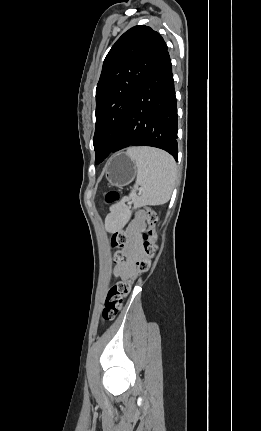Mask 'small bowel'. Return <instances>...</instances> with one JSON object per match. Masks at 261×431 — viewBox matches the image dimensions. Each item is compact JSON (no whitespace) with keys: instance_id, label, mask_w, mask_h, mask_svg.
I'll return each instance as SVG.
<instances>
[{"instance_id":"obj_1","label":"small bowel","mask_w":261,"mask_h":431,"mask_svg":"<svg viewBox=\"0 0 261 431\" xmlns=\"http://www.w3.org/2000/svg\"><path fill=\"white\" fill-rule=\"evenodd\" d=\"M144 227L145 219L140 214L136 215L128 226L127 232L129 235V242L124 249L126 260L115 267L114 274L116 277L124 279L134 273L135 262L141 252V230H143Z\"/></svg>"}]
</instances>
